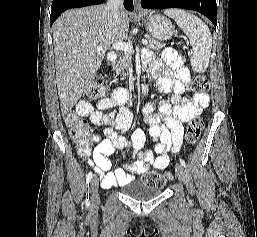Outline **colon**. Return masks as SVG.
Wrapping results in <instances>:
<instances>
[{"mask_svg": "<svg viewBox=\"0 0 257 237\" xmlns=\"http://www.w3.org/2000/svg\"><path fill=\"white\" fill-rule=\"evenodd\" d=\"M210 87L209 79L203 74L195 75L191 85L192 90L198 93L206 92ZM106 92V87L101 78L94 79L88 86L85 99L88 101L100 100ZM65 125L68 127L69 135L71 138L80 142L84 141L89 124L86 120L79 117L74 112L66 113L64 116ZM204 128L203 119L200 116L192 118L186 127L185 140L189 144H195ZM143 182L153 186L162 187L166 183V175L160 173H147L143 177Z\"/></svg>", "mask_w": 257, "mask_h": 237, "instance_id": "obj_1", "label": "colon"}]
</instances>
